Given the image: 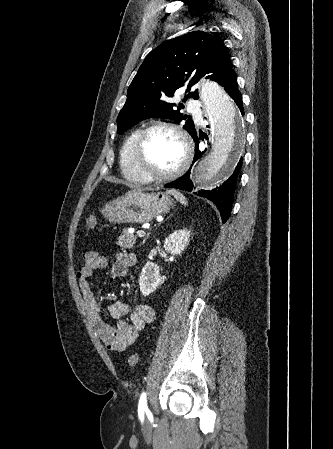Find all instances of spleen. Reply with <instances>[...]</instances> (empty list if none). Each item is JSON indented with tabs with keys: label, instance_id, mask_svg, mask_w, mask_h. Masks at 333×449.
<instances>
[{
	"label": "spleen",
	"instance_id": "spleen-1",
	"mask_svg": "<svg viewBox=\"0 0 333 449\" xmlns=\"http://www.w3.org/2000/svg\"><path fill=\"white\" fill-rule=\"evenodd\" d=\"M168 193L171 194L172 196H174L182 205L186 206L188 204L185 196L182 193H180L178 190L171 189V190H168Z\"/></svg>",
	"mask_w": 333,
	"mask_h": 449
}]
</instances>
